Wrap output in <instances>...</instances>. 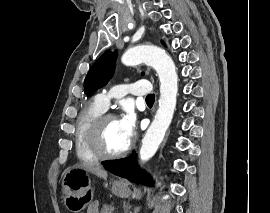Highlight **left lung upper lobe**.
<instances>
[{"mask_svg": "<svg viewBox=\"0 0 270 213\" xmlns=\"http://www.w3.org/2000/svg\"><path fill=\"white\" fill-rule=\"evenodd\" d=\"M116 56V51L107 50L93 64L84 81V90L87 95H92L98 88L107 84L113 76Z\"/></svg>", "mask_w": 270, "mask_h": 213, "instance_id": "5c2ea615", "label": "left lung upper lobe"}]
</instances>
